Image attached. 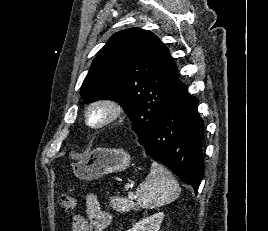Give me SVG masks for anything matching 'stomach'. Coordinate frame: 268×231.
Masks as SVG:
<instances>
[{"mask_svg":"<svg viewBox=\"0 0 268 231\" xmlns=\"http://www.w3.org/2000/svg\"><path fill=\"white\" fill-rule=\"evenodd\" d=\"M130 165V155L123 149L96 148L73 163V173L82 180H95L105 174L121 172Z\"/></svg>","mask_w":268,"mask_h":231,"instance_id":"stomach-1","label":"stomach"}]
</instances>
